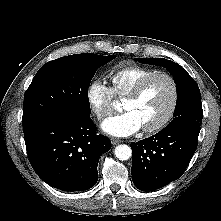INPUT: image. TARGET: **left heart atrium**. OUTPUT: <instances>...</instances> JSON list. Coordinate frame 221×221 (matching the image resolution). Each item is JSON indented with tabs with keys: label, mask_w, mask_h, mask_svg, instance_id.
<instances>
[{
	"label": "left heart atrium",
	"mask_w": 221,
	"mask_h": 221,
	"mask_svg": "<svg viewBox=\"0 0 221 221\" xmlns=\"http://www.w3.org/2000/svg\"><path fill=\"white\" fill-rule=\"evenodd\" d=\"M102 130L114 137H126L137 132L141 127L138 117L131 111L114 115L102 123Z\"/></svg>",
	"instance_id": "39dd6f15"
}]
</instances>
